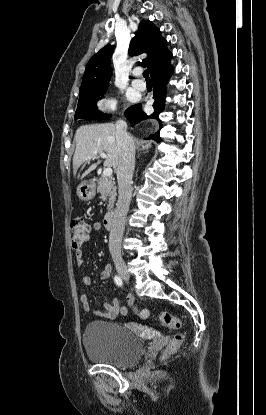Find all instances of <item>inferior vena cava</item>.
Instances as JSON below:
<instances>
[{"instance_id": "obj_1", "label": "inferior vena cava", "mask_w": 266, "mask_h": 415, "mask_svg": "<svg viewBox=\"0 0 266 415\" xmlns=\"http://www.w3.org/2000/svg\"><path fill=\"white\" fill-rule=\"evenodd\" d=\"M115 126L120 159L117 168L119 196L109 234V251L113 258L121 257V241L132 197L131 181L135 164V148L132 138L127 133V123L119 120Z\"/></svg>"}]
</instances>
